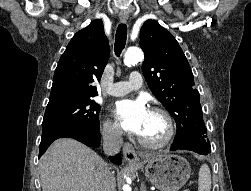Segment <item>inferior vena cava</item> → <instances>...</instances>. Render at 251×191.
Here are the masks:
<instances>
[{
  "mask_svg": "<svg viewBox=\"0 0 251 191\" xmlns=\"http://www.w3.org/2000/svg\"><path fill=\"white\" fill-rule=\"evenodd\" d=\"M122 129L118 123H114L111 127H106L104 131H102L103 137V149L106 155H115L121 149V145L123 143L122 139ZM103 179L105 183L108 185H113L115 183V177L113 173L111 175H103ZM102 191H112L109 187H105Z\"/></svg>",
  "mask_w": 251,
  "mask_h": 191,
  "instance_id": "obj_1",
  "label": "inferior vena cava"
}]
</instances>
